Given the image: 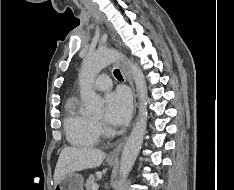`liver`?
<instances>
[{"label": "liver", "mask_w": 234, "mask_h": 190, "mask_svg": "<svg viewBox=\"0 0 234 190\" xmlns=\"http://www.w3.org/2000/svg\"><path fill=\"white\" fill-rule=\"evenodd\" d=\"M105 157V153L98 149L90 147H65L61 151L56 164L54 172L55 184L68 173L99 167Z\"/></svg>", "instance_id": "obj_1"}]
</instances>
